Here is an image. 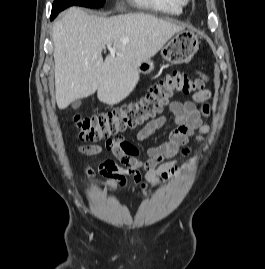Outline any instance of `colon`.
<instances>
[{
    "label": "colon",
    "instance_id": "1",
    "mask_svg": "<svg viewBox=\"0 0 265 269\" xmlns=\"http://www.w3.org/2000/svg\"><path fill=\"white\" fill-rule=\"evenodd\" d=\"M206 81L202 73L192 77L175 71L151 86L140 100L125 107L91 117L75 116L77 135L79 139L91 142L115 138L160 114L177 94L189 95L201 90Z\"/></svg>",
    "mask_w": 265,
    "mask_h": 269
}]
</instances>
